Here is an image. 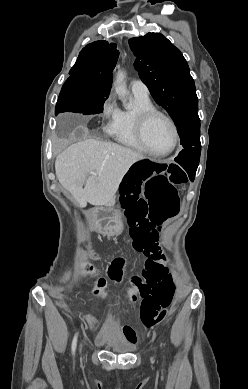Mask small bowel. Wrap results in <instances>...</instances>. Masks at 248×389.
I'll use <instances>...</instances> for the list:
<instances>
[{
	"label": "small bowel",
	"mask_w": 248,
	"mask_h": 389,
	"mask_svg": "<svg viewBox=\"0 0 248 389\" xmlns=\"http://www.w3.org/2000/svg\"><path fill=\"white\" fill-rule=\"evenodd\" d=\"M87 319L90 322H94V319L91 316H88ZM103 332L107 335H110V336H116V326H115L114 322H112V321L106 322L103 325ZM122 334H123L125 340H127L128 342H130L132 344H135L137 342L136 334L131 327H129V326L123 327Z\"/></svg>",
	"instance_id": "c3829d8e"
}]
</instances>
